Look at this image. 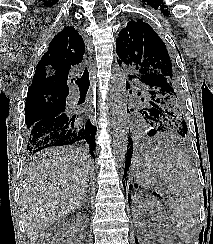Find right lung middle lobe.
<instances>
[{"mask_svg":"<svg viewBox=\"0 0 213 244\" xmlns=\"http://www.w3.org/2000/svg\"><path fill=\"white\" fill-rule=\"evenodd\" d=\"M66 96L54 94L35 95L26 98V132L33 127L35 123L55 113L65 112Z\"/></svg>","mask_w":213,"mask_h":244,"instance_id":"right-lung-middle-lobe-1","label":"right lung middle lobe"}]
</instances>
